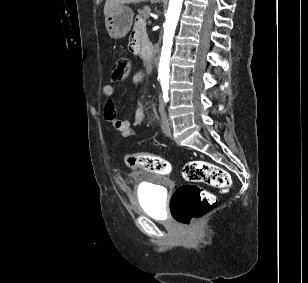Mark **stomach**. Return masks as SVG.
I'll use <instances>...</instances> for the list:
<instances>
[{
	"label": "stomach",
	"mask_w": 308,
	"mask_h": 283,
	"mask_svg": "<svg viewBox=\"0 0 308 283\" xmlns=\"http://www.w3.org/2000/svg\"><path fill=\"white\" fill-rule=\"evenodd\" d=\"M134 13L128 6L119 5L105 16V27L113 39H121L130 31Z\"/></svg>",
	"instance_id": "0dacf381"
}]
</instances>
